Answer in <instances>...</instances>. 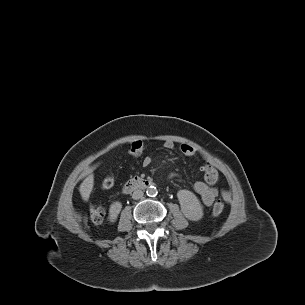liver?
<instances>
[{
    "label": "liver",
    "mask_w": 305,
    "mask_h": 305,
    "mask_svg": "<svg viewBox=\"0 0 305 305\" xmlns=\"http://www.w3.org/2000/svg\"><path fill=\"white\" fill-rule=\"evenodd\" d=\"M93 186H94V175L91 170H88L87 177L84 179V181L81 183L79 187V192L84 201H87L89 199Z\"/></svg>",
    "instance_id": "obj_1"
}]
</instances>
